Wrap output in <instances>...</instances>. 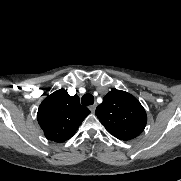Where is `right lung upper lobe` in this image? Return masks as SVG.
<instances>
[{"instance_id":"obj_1","label":"right lung upper lobe","mask_w":181,"mask_h":181,"mask_svg":"<svg viewBox=\"0 0 181 181\" xmlns=\"http://www.w3.org/2000/svg\"><path fill=\"white\" fill-rule=\"evenodd\" d=\"M90 114L77 95L60 89L47 96L39 106L37 120L47 139L57 143L70 139Z\"/></svg>"}]
</instances>
